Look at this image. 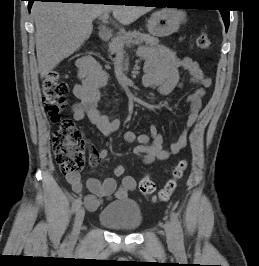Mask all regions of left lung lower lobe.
<instances>
[{
  "label": "left lung lower lobe",
  "mask_w": 259,
  "mask_h": 266,
  "mask_svg": "<svg viewBox=\"0 0 259 266\" xmlns=\"http://www.w3.org/2000/svg\"><path fill=\"white\" fill-rule=\"evenodd\" d=\"M221 11V14H222V18H223V21H224V24H225V27H226V31L229 27V22H230V19H229V11L228 10H220Z\"/></svg>",
  "instance_id": "obj_1"
}]
</instances>
